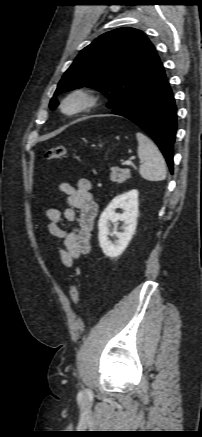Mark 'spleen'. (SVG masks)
<instances>
[{"instance_id":"obj_1","label":"spleen","mask_w":202,"mask_h":437,"mask_svg":"<svg viewBox=\"0 0 202 437\" xmlns=\"http://www.w3.org/2000/svg\"><path fill=\"white\" fill-rule=\"evenodd\" d=\"M138 157L143 162L140 175L149 181H162L166 178L165 160L157 146L141 132L136 133Z\"/></svg>"}]
</instances>
